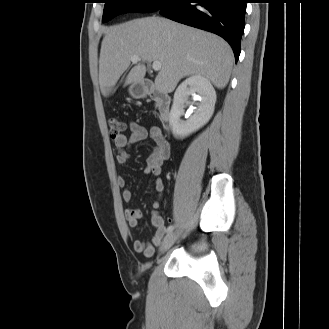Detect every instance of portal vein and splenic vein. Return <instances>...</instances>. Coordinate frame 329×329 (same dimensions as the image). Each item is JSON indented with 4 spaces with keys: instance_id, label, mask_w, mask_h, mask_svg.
Here are the masks:
<instances>
[{
    "instance_id": "portal-vein-and-splenic-vein-1",
    "label": "portal vein and splenic vein",
    "mask_w": 329,
    "mask_h": 329,
    "mask_svg": "<svg viewBox=\"0 0 329 329\" xmlns=\"http://www.w3.org/2000/svg\"><path fill=\"white\" fill-rule=\"evenodd\" d=\"M139 60H140V58L138 55H133L131 57L132 63H137ZM161 66H162L161 62H159V61H153V63H152V69L154 71H159L161 69Z\"/></svg>"
}]
</instances>
